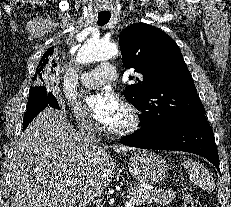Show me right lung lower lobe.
<instances>
[{"instance_id":"obj_1","label":"right lung lower lobe","mask_w":231,"mask_h":207,"mask_svg":"<svg viewBox=\"0 0 231 207\" xmlns=\"http://www.w3.org/2000/svg\"><path fill=\"white\" fill-rule=\"evenodd\" d=\"M47 106L60 109L56 98L52 95V93L48 92L46 88H44L35 94L32 102L28 103L27 111L23 119V128L25 129L28 124Z\"/></svg>"}]
</instances>
